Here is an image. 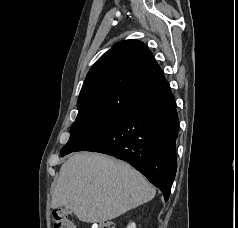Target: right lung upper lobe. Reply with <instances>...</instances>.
Instances as JSON below:
<instances>
[{
	"mask_svg": "<svg viewBox=\"0 0 238 228\" xmlns=\"http://www.w3.org/2000/svg\"><path fill=\"white\" fill-rule=\"evenodd\" d=\"M169 89L145 44L137 40L121 41L88 72L77 102L78 112L127 111Z\"/></svg>",
	"mask_w": 238,
	"mask_h": 228,
	"instance_id": "right-lung-upper-lobe-1",
	"label": "right lung upper lobe"
}]
</instances>
